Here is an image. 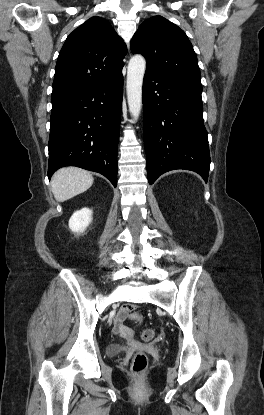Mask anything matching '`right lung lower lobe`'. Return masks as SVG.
<instances>
[{
    "mask_svg": "<svg viewBox=\"0 0 264 415\" xmlns=\"http://www.w3.org/2000/svg\"><path fill=\"white\" fill-rule=\"evenodd\" d=\"M122 74L77 91L52 96L48 178L59 168L98 172L117 185Z\"/></svg>",
    "mask_w": 264,
    "mask_h": 415,
    "instance_id": "98d812e1",
    "label": "right lung lower lobe"
}]
</instances>
